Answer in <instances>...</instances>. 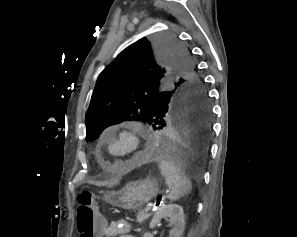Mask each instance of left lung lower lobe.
Returning <instances> with one entry per match:
<instances>
[{"label":"left lung lower lobe","mask_w":297,"mask_h":237,"mask_svg":"<svg viewBox=\"0 0 297 237\" xmlns=\"http://www.w3.org/2000/svg\"><path fill=\"white\" fill-rule=\"evenodd\" d=\"M212 113L209 101L175 103L146 153L179 164L196 167L207 156L211 138Z\"/></svg>","instance_id":"left-lung-lower-lobe-1"}]
</instances>
